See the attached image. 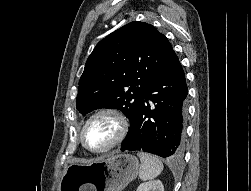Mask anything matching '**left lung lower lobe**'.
I'll return each instance as SVG.
<instances>
[{"label":"left lung lower lobe","instance_id":"1","mask_svg":"<svg viewBox=\"0 0 251 191\" xmlns=\"http://www.w3.org/2000/svg\"><path fill=\"white\" fill-rule=\"evenodd\" d=\"M187 93L183 68L172 50L151 81L121 150H143L164 158L180 156ZM148 99L155 105L150 107Z\"/></svg>","mask_w":251,"mask_h":191}]
</instances>
